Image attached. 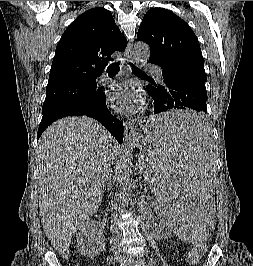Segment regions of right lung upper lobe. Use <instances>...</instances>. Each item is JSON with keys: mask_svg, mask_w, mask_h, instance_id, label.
<instances>
[{"mask_svg": "<svg viewBox=\"0 0 253 266\" xmlns=\"http://www.w3.org/2000/svg\"><path fill=\"white\" fill-rule=\"evenodd\" d=\"M127 46L110 11L92 8L78 16L63 33L55 51L47 87L94 81L111 54Z\"/></svg>", "mask_w": 253, "mask_h": 266, "instance_id": "1", "label": "right lung upper lobe"}]
</instances>
